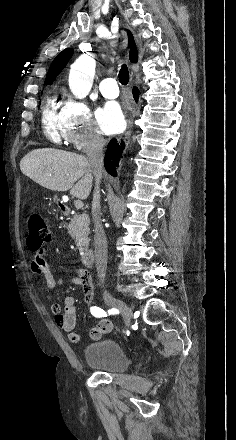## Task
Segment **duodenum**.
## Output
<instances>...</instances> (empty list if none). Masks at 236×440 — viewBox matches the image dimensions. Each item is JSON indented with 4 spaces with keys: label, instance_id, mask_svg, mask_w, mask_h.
Listing matches in <instances>:
<instances>
[{
    "label": "duodenum",
    "instance_id": "410a0bca",
    "mask_svg": "<svg viewBox=\"0 0 236 440\" xmlns=\"http://www.w3.org/2000/svg\"><path fill=\"white\" fill-rule=\"evenodd\" d=\"M58 205L62 212L66 213L68 211L67 205L64 201H58ZM81 262L85 268H91L94 263V252L90 249L86 250L81 256Z\"/></svg>",
    "mask_w": 236,
    "mask_h": 440
}]
</instances>
